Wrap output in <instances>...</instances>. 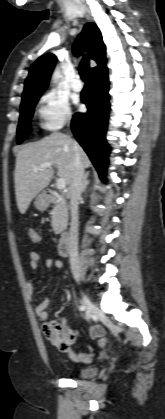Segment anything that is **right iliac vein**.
Returning a JSON list of instances; mask_svg holds the SVG:
<instances>
[{
    "mask_svg": "<svg viewBox=\"0 0 165 419\" xmlns=\"http://www.w3.org/2000/svg\"><path fill=\"white\" fill-rule=\"evenodd\" d=\"M82 302L83 306L85 307L86 317L87 319H90L94 309V304L84 292H82Z\"/></svg>",
    "mask_w": 165,
    "mask_h": 419,
    "instance_id": "right-iliac-vein-1",
    "label": "right iliac vein"
}]
</instances>
